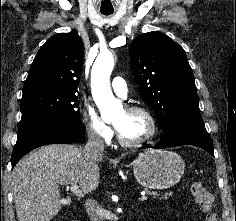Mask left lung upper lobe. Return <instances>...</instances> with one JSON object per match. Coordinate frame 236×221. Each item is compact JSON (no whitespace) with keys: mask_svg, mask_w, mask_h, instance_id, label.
<instances>
[{"mask_svg":"<svg viewBox=\"0 0 236 221\" xmlns=\"http://www.w3.org/2000/svg\"><path fill=\"white\" fill-rule=\"evenodd\" d=\"M130 59L141 97L162 130L202 119L194 75L180 45L161 32L144 33L131 44Z\"/></svg>","mask_w":236,"mask_h":221,"instance_id":"1","label":"left lung upper lobe"}]
</instances>
